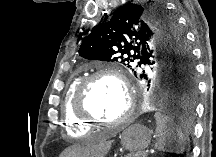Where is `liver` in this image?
<instances>
[{"mask_svg": "<svg viewBox=\"0 0 216 157\" xmlns=\"http://www.w3.org/2000/svg\"><path fill=\"white\" fill-rule=\"evenodd\" d=\"M110 144L104 138L91 140L84 145H74L66 149L60 157H102Z\"/></svg>", "mask_w": 216, "mask_h": 157, "instance_id": "liver-1", "label": "liver"}]
</instances>
